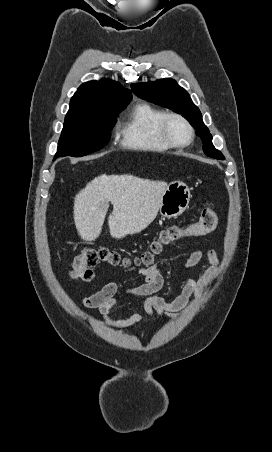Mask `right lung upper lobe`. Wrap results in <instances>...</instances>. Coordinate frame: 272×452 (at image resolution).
<instances>
[{
  "label": "right lung upper lobe",
  "instance_id": "1",
  "mask_svg": "<svg viewBox=\"0 0 272 452\" xmlns=\"http://www.w3.org/2000/svg\"><path fill=\"white\" fill-rule=\"evenodd\" d=\"M130 90L109 79L82 84L70 100L65 120L91 116L105 108L131 101Z\"/></svg>",
  "mask_w": 272,
  "mask_h": 452
}]
</instances>
